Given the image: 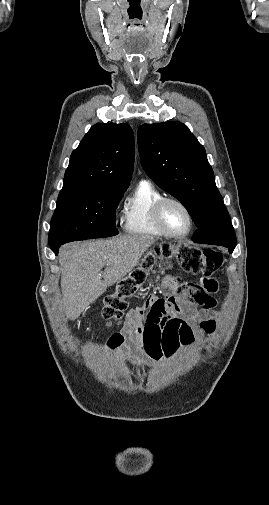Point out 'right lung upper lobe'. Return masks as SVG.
Masks as SVG:
<instances>
[{
	"instance_id": "1",
	"label": "right lung upper lobe",
	"mask_w": 269,
	"mask_h": 505,
	"mask_svg": "<svg viewBox=\"0 0 269 505\" xmlns=\"http://www.w3.org/2000/svg\"><path fill=\"white\" fill-rule=\"evenodd\" d=\"M134 136L128 124L98 123L72 152L63 188L126 190L133 172Z\"/></svg>"
}]
</instances>
